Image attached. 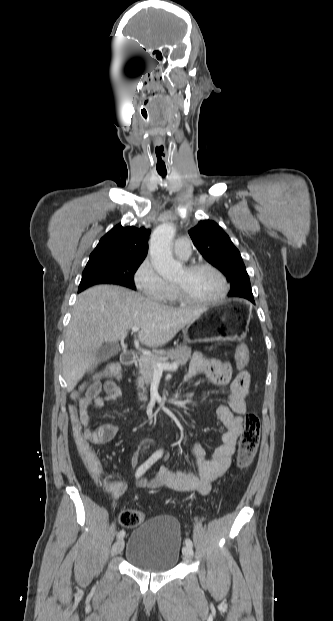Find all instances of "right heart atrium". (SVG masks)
<instances>
[{
	"instance_id": "obj_1",
	"label": "right heart atrium",
	"mask_w": 333,
	"mask_h": 621,
	"mask_svg": "<svg viewBox=\"0 0 333 621\" xmlns=\"http://www.w3.org/2000/svg\"><path fill=\"white\" fill-rule=\"evenodd\" d=\"M134 282L141 293L155 301H162L170 287L149 259H145L136 270Z\"/></svg>"
}]
</instances>
